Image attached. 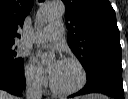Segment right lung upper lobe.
I'll return each mask as SVG.
<instances>
[{"instance_id": "1", "label": "right lung upper lobe", "mask_w": 128, "mask_h": 99, "mask_svg": "<svg viewBox=\"0 0 128 99\" xmlns=\"http://www.w3.org/2000/svg\"><path fill=\"white\" fill-rule=\"evenodd\" d=\"M34 0H0V43H15L18 26L32 9Z\"/></svg>"}]
</instances>
